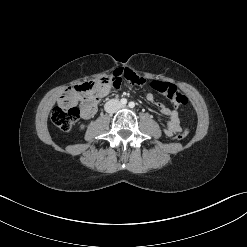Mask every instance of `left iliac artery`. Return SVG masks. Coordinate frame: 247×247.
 <instances>
[{"label": "left iliac artery", "instance_id": "left-iliac-artery-1", "mask_svg": "<svg viewBox=\"0 0 247 247\" xmlns=\"http://www.w3.org/2000/svg\"><path fill=\"white\" fill-rule=\"evenodd\" d=\"M129 107L130 108H134L135 107V103L134 102H129Z\"/></svg>", "mask_w": 247, "mask_h": 247}]
</instances>
